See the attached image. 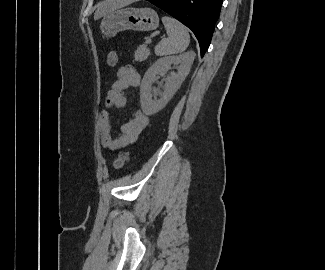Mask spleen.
I'll list each match as a JSON object with an SVG mask.
<instances>
[{
    "label": "spleen",
    "mask_w": 325,
    "mask_h": 270,
    "mask_svg": "<svg viewBox=\"0 0 325 270\" xmlns=\"http://www.w3.org/2000/svg\"><path fill=\"white\" fill-rule=\"evenodd\" d=\"M168 38H164L155 47L158 56L173 55L184 52L190 42L187 28L176 19L168 16L162 17Z\"/></svg>",
    "instance_id": "3e777b00"
}]
</instances>
